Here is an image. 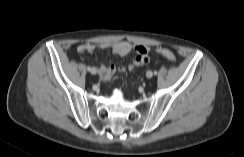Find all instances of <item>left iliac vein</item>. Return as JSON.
Listing matches in <instances>:
<instances>
[{"label":"left iliac vein","instance_id":"left-iliac-vein-1","mask_svg":"<svg viewBox=\"0 0 244 157\" xmlns=\"http://www.w3.org/2000/svg\"><path fill=\"white\" fill-rule=\"evenodd\" d=\"M152 76H153L152 71H148V72L146 73V77H147V78H152Z\"/></svg>","mask_w":244,"mask_h":157}]
</instances>
